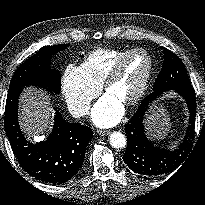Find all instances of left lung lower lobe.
Wrapping results in <instances>:
<instances>
[{"mask_svg": "<svg viewBox=\"0 0 205 205\" xmlns=\"http://www.w3.org/2000/svg\"><path fill=\"white\" fill-rule=\"evenodd\" d=\"M188 104L190 118L189 126L183 143L178 149L170 151L154 147L147 139L143 118L149 103L152 101L148 96L143 99L128 124L125 125L127 135V149L123 156L124 162L135 173L154 177L172 172L184 161L190 150L194 137L196 98L192 86L174 89Z\"/></svg>", "mask_w": 205, "mask_h": 205, "instance_id": "obj_1", "label": "left lung lower lobe"}]
</instances>
